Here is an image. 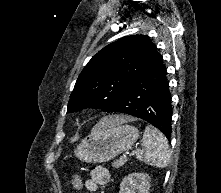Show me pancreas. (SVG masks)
<instances>
[{
    "label": "pancreas",
    "instance_id": "obj_1",
    "mask_svg": "<svg viewBox=\"0 0 221 193\" xmlns=\"http://www.w3.org/2000/svg\"><path fill=\"white\" fill-rule=\"evenodd\" d=\"M127 159L122 157L118 160H115L112 165L116 168H120L121 166H123L126 163Z\"/></svg>",
    "mask_w": 221,
    "mask_h": 193
}]
</instances>
